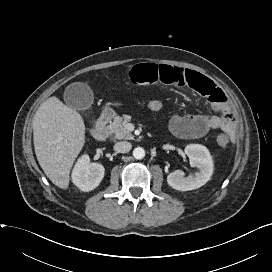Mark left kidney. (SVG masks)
Returning a JSON list of instances; mask_svg holds the SVG:
<instances>
[{"mask_svg": "<svg viewBox=\"0 0 272 272\" xmlns=\"http://www.w3.org/2000/svg\"><path fill=\"white\" fill-rule=\"evenodd\" d=\"M191 167H197L199 172L194 177H184V172L176 170L167 176L168 184L175 190L189 191L205 185L213 174V161L209 150L200 144H190L185 147Z\"/></svg>", "mask_w": 272, "mask_h": 272, "instance_id": "1", "label": "left kidney"}]
</instances>
